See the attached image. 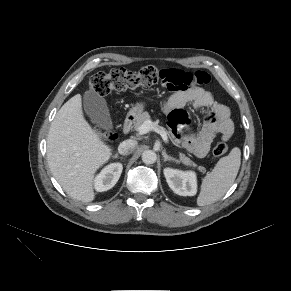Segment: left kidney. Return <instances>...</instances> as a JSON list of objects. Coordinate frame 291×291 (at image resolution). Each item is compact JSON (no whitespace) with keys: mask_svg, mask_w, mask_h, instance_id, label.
Returning a JSON list of instances; mask_svg holds the SVG:
<instances>
[{"mask_svg":"<svg viewBox=\"0 0 291 291\" xmlns=\"http://www.w3.org/2000/svg\"><path fill=\"white\" fill-rule=\"evenodd\" d=\"M164 175L171 190L180 196H194L197 193V178L193 171L165 168Z\"/></svg>","mask_w":291,"mask_h":291,"instance_id":"5707ae66","label":"left kidney"}]
</instances>
